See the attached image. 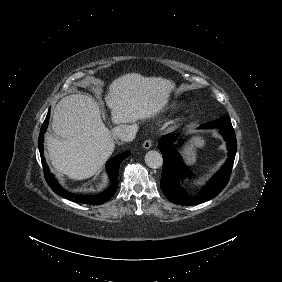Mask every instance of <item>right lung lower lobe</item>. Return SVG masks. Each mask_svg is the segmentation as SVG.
<instances>
[{
	"mask_svg": "<svg viewBox=\"0 0 282 282\" xmlns=\"http://www.w3.org/2000/svg\"><path fill=\"white\" fill-rule=\"evenodd\" d=\"M49 116H50V110L47 114V117L41 127V132L39 135V140H38V145H39V150L40 153H43V141H44V133L47 129L48 123H49ZM130 155V151H125L114 158H111L107 164V172L109 174L110 180H111V185L110 187L97 195H75L72 193H69L65 191L54 179L52 174L50 173V170L48 166L46 165L45 158L41 154V160H42V165H43V170H44V175L46 182L50 186V188L58 195L68 199L72 200L77 203H82V204H90V205H100L103 204L104 202L108 201L113 195L115 194L117 190V185H118V172H119V167L121 162L127 158Z\"/></svg>",
	"mask_w": 282,
	"mask_h": 282,
	"instance_id": "1",
	"label": "right lung lower lobe"
}]
</instances>
